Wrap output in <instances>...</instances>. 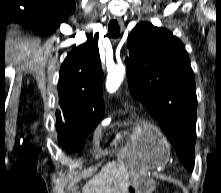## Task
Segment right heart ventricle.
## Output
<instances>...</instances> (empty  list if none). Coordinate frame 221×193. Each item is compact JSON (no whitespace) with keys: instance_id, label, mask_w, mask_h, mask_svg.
I'll list each match as a JSON object with an SVG mask.
<instances>
[{"instance_id":"1","label":"right heart ventricle","mask_w":221,"mask_h":193,"mask_svg":"<svg viewBox=\"0 0 221 193\" xmlns=\"http://www.w3.org/2000/svg\"><path fill=\"white\" fill-rule=\"evenodd\" d=\"M133 129H134V127H133L132 123H128L126 128L117 134L116 141L123 142L125 137L128 136L129 134H131Z\"/></svg>"}]
</instances>
